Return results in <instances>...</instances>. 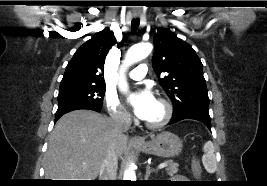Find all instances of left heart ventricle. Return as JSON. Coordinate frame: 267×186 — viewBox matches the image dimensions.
I'll use <instances>...</instances> for the list:
<instances>
[{
  "instance_id": "b2bd125f",
  "label": "left heart ventricle",
  "mask_w": 267,
  "mask_h": 186,
  "mask_svg": "<svg viewBox=\"0 0 267 186\" xmlns=\"http://www.w3.org/2000/svg\"><path fill=\"white\" fill-rule=\"evenodd\" d=\"M163 115V107L156 101L150 116L145 120L147 122H156L160 120Z\"/></svg>"
}]
</instances>
